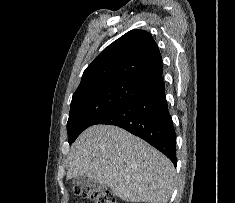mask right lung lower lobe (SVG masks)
Listing matches in <instances>:
<instances>
[{
  "label": "right lung lower lobe",
  "mask_w": 235,
  "mask_h": 203,
  "mask_svg": "<svg viewBox=\"0 0 235 203\" xmlns=\"http://www.w3.org/2000/svg\"><path fill=\"white\" fill-rule=\"evenodd\" d=\"M95 124L121 127L144 139L176 166V137L165 98L163 79L107 113ZM94 124V125H95Z\"/></svg>",
  "instance_id": "98d812e1"
}]
</instances>
